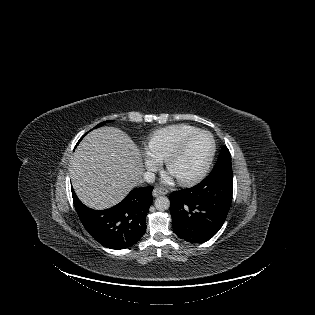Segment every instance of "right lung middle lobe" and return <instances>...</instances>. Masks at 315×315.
<instances>
[{
	"label": "right lung middle lobe",
	"mask_w": 315,
	"mask_h": 315,
	"mask_svg": "<svg viewBox=\"0 0 315 315\" xmlns=\"http://www.w3.org/2000/svg\"><path fill=\"white\" fill-rule=\"evenodd\" d=\"M108 122V121H107ZM105 124V122H102V123H100V124H98L95 128H98V127H100V126H102V125H104Z\"/></svg>",
	"instance_id": "dd1d6c3e"
}]
</instances>
